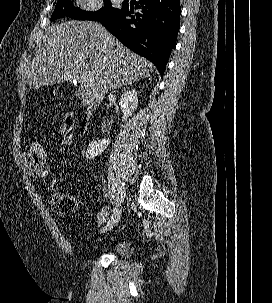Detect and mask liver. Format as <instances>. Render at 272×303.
Returning <instances> with one entry per match:
<instances>
[{"label": "liver", "mask_w": 272, "mask_h": 303, "mask_svg": "<svg viewBox=\"0 0 272 303\" xmlns=\"http://www.w3.org/2000/svg\"><path fill=\"white\" fill-rule=\"evenodd\" d=\"M154 66L121 44L105 27L92 21H67L47 28L27 72L32 89L79 81L76 97L88 108L106 93L147 78ZM82 75L92 80L81 82Z\"/></svg>", "instance_id": "6515ba94"}]
</instances>
